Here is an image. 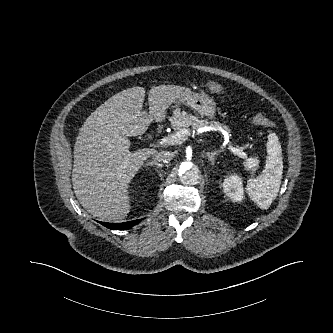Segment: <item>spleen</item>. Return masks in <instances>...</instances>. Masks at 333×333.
<instances>
[{"mask_svg":"<svg viewBox=\"0 0 333 333\" xmlns=\"http://www.w3.org/2000/svg\"><path fill=\"white\" fill-rule=\"evenodd\" d=\"M265 169L259 176L248 179L246 189L251 199L261 208L267 209L277 197L282 173V149L276 134L271 133L267 142Z\"/></svg>","mask_w":333,"mask_h":333,"instance_id":"spleen-1","label":"spleen"}]
</instances>
